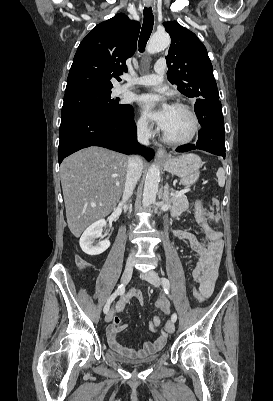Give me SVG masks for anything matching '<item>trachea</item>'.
<instances>
[{
  "label": "trachea",
  "instance_id": "trachea-1",
  "mask_svg": "<svg viewBox=\"0 0 273 401\" xmlns=\"http://www.w3.org/2000/svg\"><path fill=\"white\" fill-rule=\"evenodd\" d=\"M144 20L139 37V51L144 52L148 39L152 33L154 17L151 7H145L143 10Z\"/></svg>",
  "mask_w": 273,
  "mask_h": 401
}]
</instances>
